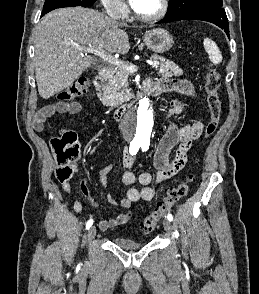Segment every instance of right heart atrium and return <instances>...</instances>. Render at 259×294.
Listing matches in <instances>:
<instances>
[{"instance_id": "1", "label": "right heart atrium", "mask_w": 259, "mask_h": 294, "mask_svg": "<svg viewBox=\"0 0 259 294\" xmlns=\"http://www.w3.org/2000/svg\"><path fill=\"white\" fill-rule=\"evenodd\" d=\"M107 12L113 16L123 17L127 14V6L122 0H101Z\"/></svg>"}]
</instances>
